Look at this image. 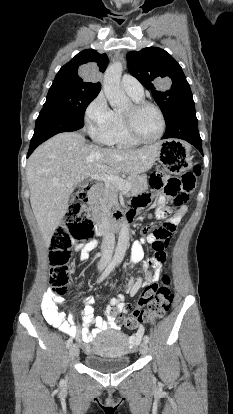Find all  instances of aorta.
I'll use <instances>...</instances> for the list:
<instances>
[{"label": "aorta", "mask_w": 233, "mask_h": 414, "mask_svg": "<svg viewBox=\"0 0 233 414\" xmlns=\"http://www.w3.org/2000/svg\"><path fill=\"white\" fill-rule=\"evenodd\" d=\"M123 71L121 62H115L108 66L103 79V90L111 107L120 109L126 107L130 103V99L125 95L120 86V79ZM129 241V226L123 221L119 232L118 244L113 260L121 262L124 258L127 244Z\"/></svg>", "instance_id": "1"}]
</instances>
